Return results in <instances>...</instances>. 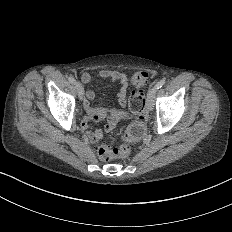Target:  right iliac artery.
<instances>
[{"instance_id": "82829eb1", "label": "right iliac artery", "mask_w": 232, "mask_h": 232, "mask_svg": "<svg viewBox=\"0 0 232 232\" xmlns=\"http://www.w3.org/2000/svg\"><path fill=\"white\" fill-rule=\"evenodd\" d=\"M69 82L72 83V84H75L76 83V80L73 78V77H69Z\"/></svg>"}]
</instances>
